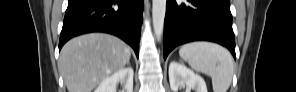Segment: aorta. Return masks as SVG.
Here are the masks:
<instances>
[{"mask_svg":"<svg viewBox=\"0 0 296 92\" xmlns=\"http://www.w3.org/2000/svg\"><path fill=\"white\" fill-rule=\"evenodd\" d=\"M165 12L166 0H153L152 22L154 33L158 40H160L163 35Z\"/></svg>","mask_w":296,"mask_h":92,"instance_id":"1","label":"aorta"}]
</instances>
